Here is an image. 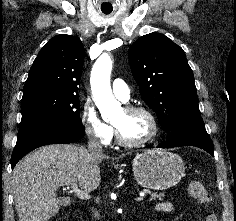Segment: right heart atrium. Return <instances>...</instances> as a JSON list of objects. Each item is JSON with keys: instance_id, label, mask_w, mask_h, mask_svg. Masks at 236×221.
Returning a JSON list of instances; mask_svg holds the SVG:
<instances>
[{"instance_id": "right-heart-atrium-1", "label": "right heart atrium", "mask_w": 236, "mask_h": 221, "mask_svg": "<svg viewBox=\"0 0 236 221\" xmlns=\"http://www.w3.org/2000/svg\"><path fill=\"white\" fill-rule=\"evenodd\" d=\"M81 122L86 135L94 142L108 145L113 139V127L99 115L94 103L84 102L81 109Z\"/></svg>"}]
</instances>
